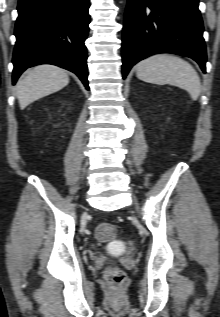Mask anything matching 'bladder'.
<instances>
[{
	"mask_svg": "<svg viewBox=\"0 0 220 317\" xmlns=\"http://www.w3.org/2000/svg\"><path fill=\"white\" fill-rule=\"evenodd\" d=\"M110 250L114 253H123L125 251V245L122 243H115L111 246Z\"/></svg>",
	"mask_w": 220,
	"mask_h": 317,
	"instance_id": "obj_1",
	"label": "bladder"
}]
</instances>
